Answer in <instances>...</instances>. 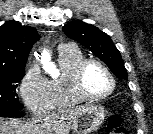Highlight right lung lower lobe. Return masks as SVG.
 Listing matches in <instances>:
<instances>
[{
    "label": "right lung lower lobe",
    "instance_id": "98d812e1",
    "mask_svg": "<svg viewBox=\"0 0 153 134\" xmlns=\"http://www.w3.org/2000/svg\"><path fill=\"white\" fill-rule=\"evenodd\" d=\"M23 114L20 112V110H14V109H0V117H22Z\"/></svg>",
    "mask_w": 153,
    "mask_h": 134
}]
</instances>
